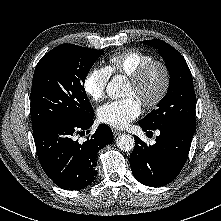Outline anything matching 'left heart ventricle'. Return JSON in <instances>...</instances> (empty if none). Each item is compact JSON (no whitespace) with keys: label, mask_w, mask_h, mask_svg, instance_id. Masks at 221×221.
I'll return each instance as SVG.
<instances>
[{"label":"left heart ventricle","mask_w":221,"mask_h":221,"mask_svg":"<svg viewBox=\"0 0 221 221\" xmlns=\"http://www.w3.org/2000/svg\"><path fill=\"white\" fill-rule=\"evenodd\" d=\"M162 81V71L159 68H155L141 87H135L129 83L123 96H134L140 102L152 99L160 90Z\"/></svg>","instance_id":"b2bd125f"}]
</instances>
